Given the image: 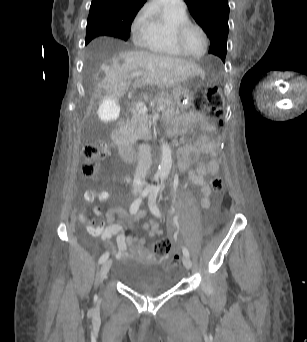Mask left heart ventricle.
I'll use <instances>...</instances> for the list:
<instances>
[{"label": "left heart ventricle", "mask_w": 307, "mask_h": 342, "mask_svg": "<svg viewBox=\"0 0 307 342\" xmlns=\"http://www.w3.org/2000/svg\"><path fill=\"white\" fill-rule=\"evenodd\" d=\"M184 44L187 52L194 57H198L203 53L204 37L198 26H192L187 30Z\"/></svg>", "instance_id": "obj_1"}]
</instances>
